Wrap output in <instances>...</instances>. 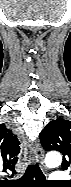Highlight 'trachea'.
I'll list each match as a JSON object with an SVG mask.
<instances>
[{
	"label": "trachea",
	"mask_w": 71,
	"mask_h": 187,
	"mask_svg": "<svg viewBox=\"0 0 71 187\" xmlns=\"http://www.w3.org/2000/svg\"><path fill=\"white\" fill-rule=\"evenodd\" d=\"M25 178H33L35 177L37 180L40 179H44V174L42 173V171L40 170L38 164H34V165H29L25 174H24Z\"/></svg>",
	"instance_id": "1"
}]
</instances>
